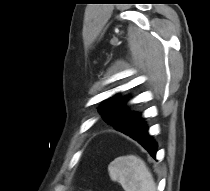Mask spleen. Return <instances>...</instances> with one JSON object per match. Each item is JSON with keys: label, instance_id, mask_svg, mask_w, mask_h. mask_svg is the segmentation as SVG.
I'll use <instances>...</instances> for the list:
<instances>
[{"label": "spleen", "instance_id": "3e777b00", "mask_svg": "<svg viewBox=\"0 0 210 191\" xmlns=\"http://www.w3.org/2000/svg\"><path fill=\"white\" fill-rule=\"evenodd\" d=\"M112 181L125 191H156L153 176L145 162L134 155L120 156L108 166Z\"/></svg>", "mask_w": 210, "mask_h": 191}]
</instances>
